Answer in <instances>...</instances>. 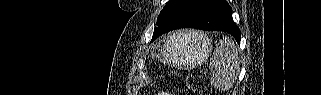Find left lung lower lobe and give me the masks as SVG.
Masks as SVG:
<instances>
[{"mask_svg": "<svg viewBox=\"0 0 321 95\" xmlns=\"http://www.w3.org/2000/svg\"><path fill=\"white\" fill-rule=\"evenodd\" d=\"M186 27L224 31L234 36L238 43L241 38L226 0H173L154 29L152 41L164 33Z\"/></svg>", "mask_w": 321, "mask_h": 95, "instance_id": "1", "label": "left lung lower lobe"}]
</instances>
